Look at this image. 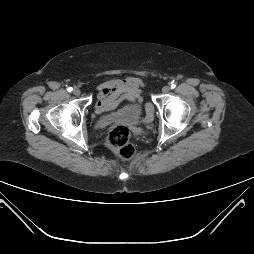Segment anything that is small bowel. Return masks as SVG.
Listing matches in <instances>:
<instances>
[{"mask_svg": "<svg viewBox=\"0 0 254 254\" xmlns=\"http://www.w3.org/2000/svg\"><path fill=\"white\" fill-rule=\"evenodd\" d=\"M144 81L138 77L129 76L125 79H110L97 87L94 114L115 109L121 100H128L134 105L141 102ZM152 110L148 111V117Z\"/></svg>", "mask_w": 254, "mask_h": 254, "instance_id": "1", "label": "small bowel"}]
</instances>
